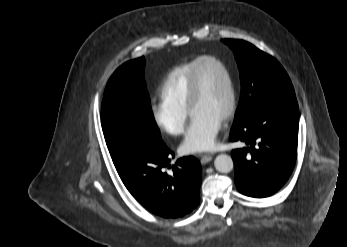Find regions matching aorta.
Listing matches in <instances>:
<instances>
[{
  "label": "aorta",
  "instance_id": "obj_1",
  "mask_svg": "<svg viewBox=\"0 0 347 247\" xmlns=\"http://www.w3.org/2000/svg\"><path fill=\"white\" fill-rule=\"evenodd\" d=\"M214 166L218 172L229 173L232 171L234 163L231 156L220 154L215 158Z\"/></svg>",
  "mask_w": 347,
  "mask_h": 247
}]
</instances>
